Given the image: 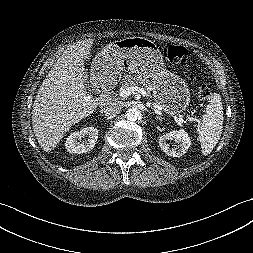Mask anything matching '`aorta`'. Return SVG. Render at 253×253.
Segmentation results:
<instances>
[{
    "label": "aorta",
    "instance_id": "1",
    "mask_svg": "<svg viewBox=\"0 0 253 253\" xmlns=\"http://www.w3.org/2000/svg\"><path fill=\"white\" fill-rule=\"evenodd\" d=\"M126 118L130 121H137L141 118V112L137 108H130L126 111Z\"/></svg>",
    "mask_w": 253,
    "mask_h": 253
}]
</instances>
